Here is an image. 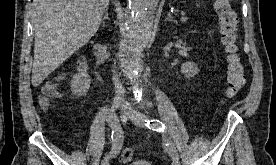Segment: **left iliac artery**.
<instances>
[{"instance_id": "left-iliac-artery-1", "label": "left iliac artery", "mask_w": 276, "mask_h": 165, "mask_svg": "<svg viewBox=\"0 0 276 165\" xmlns=\"http://www.w3.org/2000/svg\"><path fill=\"white\" fill-rule=\"evenodd\" d=\"M146 126L153 130V131H158V132H164V129H165V126L164 124L157 120V119H153V120H146ZM166 147H167V150L171 156L172 159H179V155H178V152L174 146V144L169 140L167 139L166 140Z\"/></svg>"}]
</instances>
